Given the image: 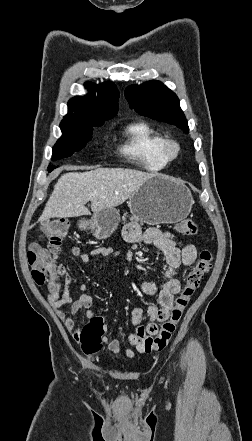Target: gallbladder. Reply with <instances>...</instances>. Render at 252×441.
I'll return each mask as SVG.
<instances>
[{
    "label": "gallbladder",
    "mask_w": 252,
    "mask_h": 441,
    "mask_svg": "<svg viewBox=\"0 0 252 441\" xmlns=\"http://www.w3.org/2000/svg\"><path fill=\"white\" fill-rule=\"evenodd\" d=\"M42 223V225H47V222H41Z\"/></svg>",
    "instance_id": "bac80fb5"
}]
</instances>
